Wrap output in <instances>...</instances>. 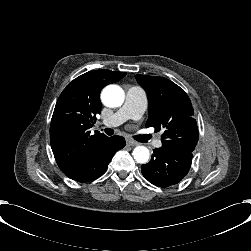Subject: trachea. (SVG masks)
Masks as SVG:
<instances>
[{
    "mask_svg": "<svg viewBox=\"0 0 251 251\" xmlns=\"http://www.w3.org/2000/svg\"><path fill=\"white\" fill-rule=\"evenodd\" d=\"M104 132L107 134V135H113V133H114V131H113V129H109V128H106L105 130H104ZM137 137H139V138H141V137H143V139H144V141L146 142L148 139H150V138H152V135H139V136H136V138ZM143 141V142H144Z\"/></svg>",
    "mask_w": 251,
    "mask_h": 251,
    "instance_id": "obj_1",
    "label": "trachea"
}]
</instances>
